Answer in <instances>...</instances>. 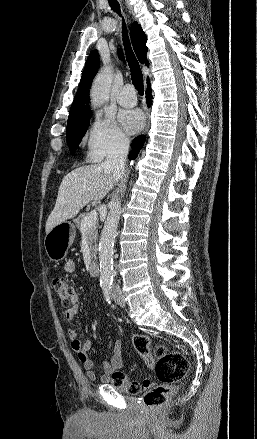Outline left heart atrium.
Here are the masks:
<instances>
[{"instance_id":"obj_1","label":"left heart atrium","mask_w":257,"mask_h":439,"mask_svg":"<svg viewBox=\"0 0 257 439\" xmlns=\"http://www.w3.org/2000/svg\"><path fill=\"white\" fill-rule=\"evenodd\" d=\"M120 120L129 132H136L143 125L144 117L140 111L132 110L122 112Z\"/></svg>"}]
</instances>
